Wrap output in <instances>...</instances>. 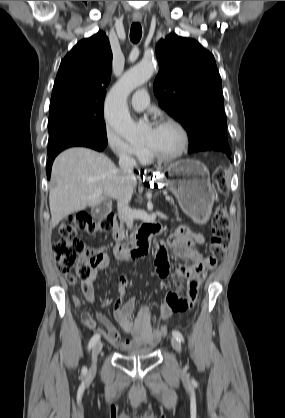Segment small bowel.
I'll use <instances>...</instances> for the list:
<instances>
[{"mask_svg":"<svg viewBox=\"0 0 285 418\" xmlns=\"http://www.w3.org/2000/svg\"><path fill=\"white\" fill-rule=\"evenodd\" d=\"M195 234L189 231L179 232L169 236L164 245L171 249L177 256L194 261L191 266L172 265L168 258L163 261L155 260L156 273L161 278H168L174 274V289L170 291L166 300L160 305L158 315L161 319H168L174 313L182 312L197 299L199 289L205 279V264L209 258H203L197 251L190 247L192 241L196 240ZM110 265L108 258H104L91 272L87 279H83L81 286L84 298L93 302L95 298L93 283L99 280L101 273ZM112 272L117 275V287L119 298L113 305V313L120 323L121 328L131 335L130 340L120 339L119 332L112 320L103 312L95 311L97 321L105 327V331H100L103 337L116 348L129 351L132 348H140L155 345L161 337L153 329L151 322V311L147 306L142 307L136 314L134 313L135 301L133 298L126 299L127 279L118 270ZM75 284V278L68 276V282ZM186 294V297H182ZM74 303L81 308L83 302L80 298L74 297ZM83 323L90 330L95 329V321L88 312L81 314Z\"/></svg>","mask_w":285,"mask_h":418,"instance_id":"small-bowel-1","label":"small bowel"}]
</instances>
